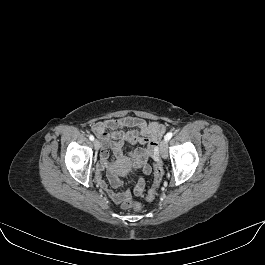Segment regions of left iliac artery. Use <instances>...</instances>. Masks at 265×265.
Returning <instances> with one entry per match:
<instances>
[{
    "mask_svg": "<svg viewBox=\"0 0 265 265\" xmlns=\"http://www.w3.org/2000/svg\"><path fill=\"white\" fill-rule=\"evenodd\" d=\"M172 136H173V133H172V132H168V133L165 135L164 139H165L166 141H169V140L172 138Z\"/></svg>",
    "mask_w": 265,
    "mask_h": 265,
    "instance_id": "1",
    "label": "left iliac artery"
}]
</instances>
